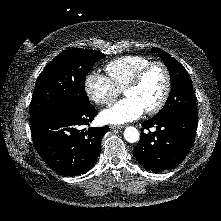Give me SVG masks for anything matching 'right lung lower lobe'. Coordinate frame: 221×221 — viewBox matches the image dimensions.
<instances>
[{"mask_svg": "<svg viewBox=\"0 0 221 221\" xmlns=\"http://www.w3.org/2000/svg\"><path fill=\"white\" fill-rule=\"evenodd\" d=\"M96 114L92 105L62 107L30 124L35 147L48 166L64 176L84 174L93 167L109 127L81 128Z\"/></svg>", "mask_w": 221, "mask_h": 221, "instance_id": "98d812e1", "label": "right lung lower lobe"}]
</instances>
